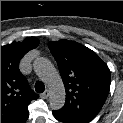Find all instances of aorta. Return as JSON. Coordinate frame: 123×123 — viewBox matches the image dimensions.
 I'll list each match as a JSON object with an SVG mask.
<instances>
[{"label":"aorta","mask_w":123,"mask_h":123,"mask_svg":"<svg viewBox=\"0 0 123 123\" xmlns=\"http://www.w3.org/2000/svg\"><path fill=\"white\" fill-rule=\"evenodd\" d=\"M37 76L49 89V102L53 110L61 109L65 104V87L63 81L50 60L37 58L33 64Z\"/></svg>","instance_id":"762f6f07"}]
</instances>
